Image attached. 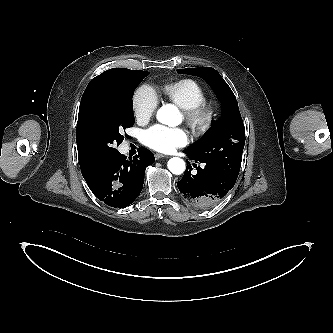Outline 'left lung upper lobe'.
Masks as SVG:
<instances>
[{
    "instance_id": "5c2ea615",
    "label": "left lung upper lobe",
    "mask_w": 333,
    "mask_h": 333,
    "mask_svg": "<svg viewBox=\"0 0 333 333\" xmlns=\"http://www.w3.org/2000/svg\"><path fill=\"white\" fill-rule=\"evenodd\" d=\"M178 73L203 78L216 92L223 106V120L201 142L186 149L193 157L221 170L236 180L245 144V128L238 103L230 87L211 67L178 69Z\"/></svg>"
}]
</instances>
